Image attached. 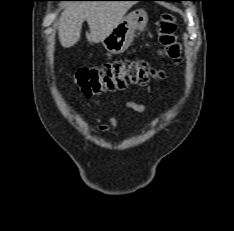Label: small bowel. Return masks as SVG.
<instances>
[{"label": "small bowel", "mask_w": 234, "mask_h": 231, "mask_svg": "<svg viewBox=\"0 0 234 231\" xmlns=\"http://www.w3.org/2000/svg\"><path fill=\"white\" fill-rule=\"evenodd\" d=\"M126 107L134 112L143 113L146 111V107L138 102L129 101L126 103ZM117 127V119L115 117H110L106 121H101L99 124V131L103 133L112 132Z\"/></svg>", "instance_id": "c3829d8e"}]
</instances>
